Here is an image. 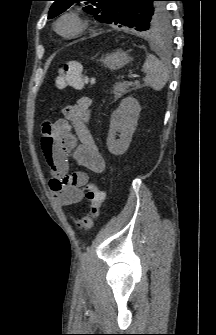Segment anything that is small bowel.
<instances>
[{"label": "small bowel", "instance_id": "c3829d8e", "mask_svg": "<svg viewBox=\"0 0 216 335\" xmlns=\"http://www.w3.org/2000/svg\"><path fill=\"white\" fill-rule=\"evenodd\" d=\"M92 100L81 96L74 104L62 109L63 117L55 122H45L41 127V150L51 177L48 185L60 206H68L84 199V186L88 174L74 172L69 174V156L95 174L105 170V162L98 152L94 139L88 129L91 117ZM75 131L80 144H77Z\"/></svg>", "mask_w": 216, "mask_h": 335}]
</instances>
